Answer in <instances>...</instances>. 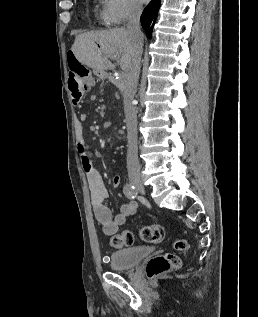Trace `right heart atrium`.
Returning <instances> with one entry per match:
<instances>
[{
    "label": "right heart atrium",
    "instance_id": "1",
    "mask_svg": "<svg viewBox=\"0 0 258 317\" xmlns=\"http://www.w3.org/2000/svg\"><path fill=\"white\" fill-rule=\"evenodd\" d=\"M103 10L104 20L111 28V26H123L138 12L139 5L135 0H107Z\"/></svg>",
    "mask_w": 258,
    "mask_h": 317
}]
</instances>
